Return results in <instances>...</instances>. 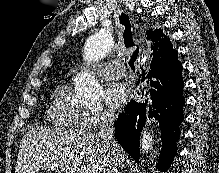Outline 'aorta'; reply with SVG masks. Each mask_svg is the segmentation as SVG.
Returning <instances> with one entry per match:
<instances>
[{
	"instance_id": "aorta-1",
	"label": "aorta",
	"mask_w": 219,
	"mask_h": 173,
	"mask_svg": "<svg viewBox=\"0 0 219 173\" xmlns=\"http://www.w3.org/2000/svg\"><path fill=\"white\" fill-rule=\"evenodd\" d=\"M112 37L107 31L101 30L89 36L84 45L83 58L88 64L98 62L111 51ZM75 92L83 101H95L101 93L102 88L99 82L87 71L82 72L75 79ZM154 144L153 136L143 129L140 140L142 154L148 153Z\"/></svg>"
}]
</instances>
